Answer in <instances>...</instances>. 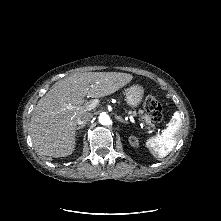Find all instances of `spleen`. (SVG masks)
Masks as SVG:
<instances>
[{
    "label": "spleen",
    "mask_w": 221,
    "mask_h": 221,
    "mask_svg": "<svg viewBox=\"0 0 221 221\" xmlns=\"http://www.w3.org/2000/svg\"><path fill=\"white\" fill-rule=\"evenodd\" d=\"M181 126L180 113L175 112L162 134L147 140L146 144L154 157L164 158L174 149L177 144L176 135Z\"/></svg>",
    "instance_id": "spleen-1"
}]
</instances>
